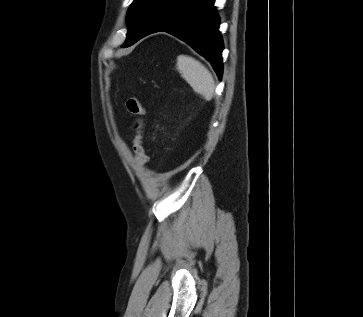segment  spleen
Returning <instances> with one entry per match:
<instances>
[{
    "label": "spleen",
    "mask_w": 363,
    "mask_h": 317,
    "mask_svg": "<svg viewBox=\"0 0 363 317\" xmlns=\"http://www.w3.org/2000/svg\"><path fill=\"white\" fill-rule=\"evenodd\" d=\"M177 69L193 90L209 100L215 91V82L210 71L198 60L187 55L177 57Z\"/></svg>",
    "instance_id": "1"
}]
</instances>
